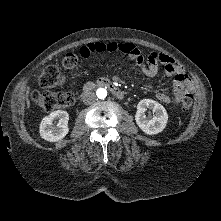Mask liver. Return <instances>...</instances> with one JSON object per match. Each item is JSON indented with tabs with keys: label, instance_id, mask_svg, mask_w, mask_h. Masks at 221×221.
Instances as JSON below:
<instances>
[{
	"label": "liver",
	"instance_id": "1",
	"mask_svg": "<svg viewBox=\"0 0 221 221\" xmlns=\"http://www.w3.org/2000/svg\"><path fill=\"white\" fill-rule=\"evenodd\" d=\"M29 93V87L27 88V94ZM27 105H28V108L30 107V102H29V100H28V98H27Z\"/></svg>",
	"mask_w": 221,
	"mask_h": 221
}]
</instances>
